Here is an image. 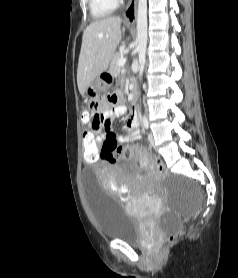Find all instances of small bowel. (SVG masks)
<instances>
[{"mask_svg": "<svg viewBox=\"0 0 238 278\" xmlns=\"http://www.w3.org/2000/svg\"><path fill=\"white\" fill-rule=\"evenodd\" d=\"M125 113V105L118 103L117 100H106L105 103L100 105L99 110L96 112L95 117L87 129V131H93L94 135L84 137H103V141H105L106 144L109 142L119 144L139 140V115L135 111L132 112L130 118L124 126V130L127 131V135H118L111 129V122ZM134 158L137 160L139 165L143 167L150 166L146 157L135 156Z\"/></svg>", "mask_w": 238, "mask_h": 278, "instance_id": "c3829d8e", "label": "small bowel"}]
</instances>
